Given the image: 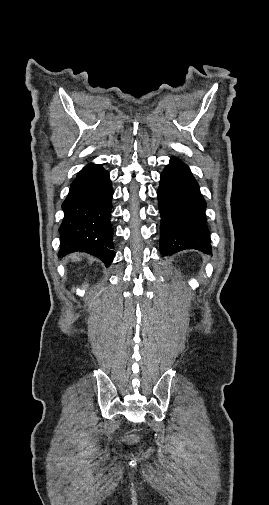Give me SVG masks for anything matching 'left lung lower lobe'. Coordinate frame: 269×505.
I'll use <instances>...</instances> for the list:
<instances>
[{"instance_id": "left-lung-lower-lobe-1", "label": "left lung lower lobe", "mask_w": 269, "mask_h": 505, "mask_svg": "<svg viewBox=\"0 0 269 505\" xmlns=\"http://www.w3.org/2000/svg\"><path fill=\"white\" fill-rule=\"evenodd\" d=\"M157 198L160 252L167 255L195 249L211 253L205 200L189 168L179 159L171 158L161 173Z\"/></svg>"}]
</instances>
